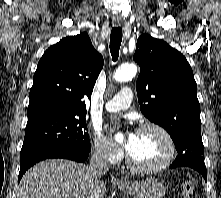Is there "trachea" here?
<instances>
[{
	"instance_id": "trachea-1",
	"label": "trachea",
	"mask_w": 221,
	"mask_h": 198,
	"mask_svg": "<svg viewBox=\"0 0 221 198\" xmlns=\"http://www.w3.org/2000/svg\"><path fill=\"white\" fill-rule=\"evenodd\" d=\"M121 41L122 29L120 27H114L110 35V52L114 62L118 60Z\"/></svg>"
}]
</instances>
